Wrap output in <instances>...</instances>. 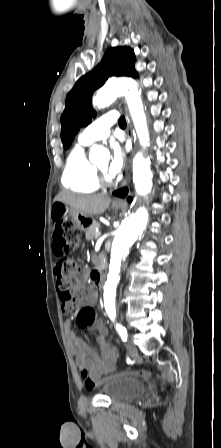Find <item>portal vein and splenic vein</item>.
Returning <instances> with one entry per match:
<instances>
[{"label": "portal vein and splenic vein", "instance_id": "obj_1", "mask_svg": "<svg viewBox=\"0 0 221 448\" xmlns=\"http://www.w3.org/2000/svg\"><path fill=\"white\" fill-rule=\"evenodd\" d=\"M101 234H102V232H101V231H97V232H96V238L100 237V236H101Z\"/></svg>", "mask_w": 221, "mask_h": 448}]
</instances>
